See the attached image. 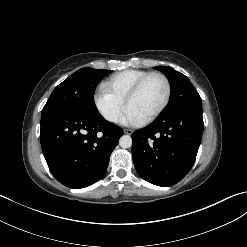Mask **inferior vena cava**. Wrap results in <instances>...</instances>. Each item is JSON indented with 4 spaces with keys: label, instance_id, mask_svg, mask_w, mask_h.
<instances>
[{
    "label": "inferior vena cava",
    "instance_id": "inferior-vena-cava-1",
    "mask_svg": "<svg viewBox=\"0 0 247 247\" xmlns=\"http://www.w3.org/2000/svg\"><path fill=\"white\" fill-rule=\"evenodd\" d=\"M110 120H111V121H117V115L111 116V117H110Z\"/></svg>",
    "mask_w": 247,
    "mask_h": 247
}]
</instances>
